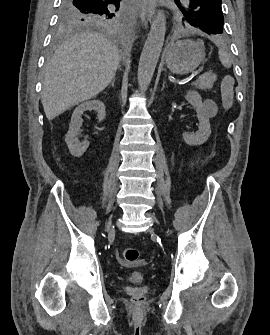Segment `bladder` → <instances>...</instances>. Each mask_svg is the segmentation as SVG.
<instances>
[{
    "label": "bladder",
    "mask_w": 270,
    "mask_h": 335,
    "mask_svg": "<svg viewBox=\"0 0 270 335\" xmlns=\"http://www.w3.org/2000/svg\"><path fill=\"white\" fill-rule=\"evenodd\" d=\"M144 277H145L144 269H137L128 272V279L134 284H138L139 282H141L144 279Z\"/></svg>",
    "instance_id": "31cf9c89"
}]
</instances>
